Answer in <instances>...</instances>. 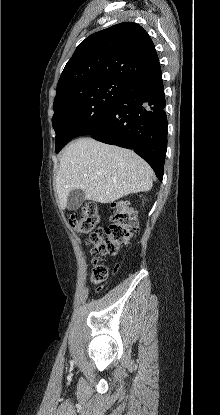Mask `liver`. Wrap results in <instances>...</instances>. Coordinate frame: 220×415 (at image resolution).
I'll return each mask as SVG.
<instances>
[{
	"mask_svg": "<svg viewBox=\"0 0 220 415\" xmlns=\"http://www.w3.org/2000/svg\"><path fill=\"white\" fill-rule=\"evenodd\" d=\"M153 171L133 151L108 145L91 138H80L64 151L56 190L59 205L67 207L68 194L84 191L85 199L111 203L128 194L152 188Z\"/></svg>",
	"mask_w": 220,
	"mask_h": 415,
	"instance_id": "6515ba94",
	"label": "liver"
}]
</instances>
